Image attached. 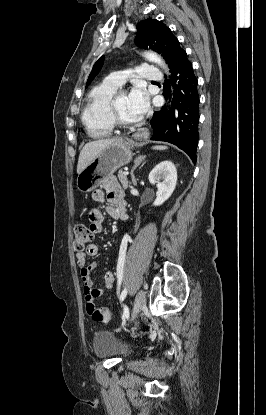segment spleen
I'll list each match as a JSON object with an SVG mask.
<instances>
[{"label": "spleen", "instance_id": "spleen-1", "mask_svg": "<svg viewBox=\"0 0 266 415\" xmlns=\"http://www.w3.org/2000/svg\"><path fill=\"white\" fill-rule=\"evenodd\" d=\"M153 149H156V150H165V149H167V147L166 146H155V147H153Z\"/></svg>", "mask_w": 266, "mask_h": 415}]
</instances>
